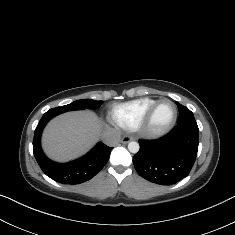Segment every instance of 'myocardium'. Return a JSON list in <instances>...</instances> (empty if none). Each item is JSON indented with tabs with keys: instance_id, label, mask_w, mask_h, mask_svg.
I'll use <instances>...</instances> for the list:
<instances>
[{
	"instance_id": "obj_1",
	"label": "myocardium",
	"mask_w": 235,
	"mask_h": 235,
	"mask_svg": "<svg viewBox=\"0 0 235 235\" xmlns=\"http://www.w3.org/2000/svg\"><path fill=\"white\" fill-rule=\"evenodd\" d=\"M164 101H168L173 104V106L175 108V115L166 127L159 129V130H156L152 127L153 116H154L155 110L158 107V105ZM177 119H178V107H177V104L175 103V101H173L169 98H160L152 104V106L150 107V109L147 112L144 119L137 126L138 134L141 137L147 138V139H154V138L164 136L173 129V127L175 126V124L177 122Z\"/></svg>"
}]
</instances>
